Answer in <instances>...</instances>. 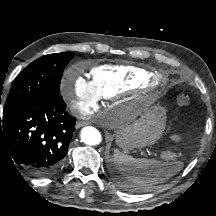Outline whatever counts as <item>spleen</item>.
<instances>
[{"label": "spleen", "instance_id": "1", "mask_svg": "<svg viewBox=\"0 0 216 216\" xmlns=\"http://www.w3.org/2000/svg\"><path fill=\"white\" fill-rule=\"evenodd\" d=\"M113 161L118 170L138 188H149L175 175L169 164L155 159L133 158L119 150L114 151Z\"/></svg>", "mask_w": 216, "mask_h": 216}]
</instances>
